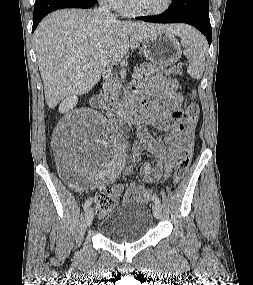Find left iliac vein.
I'll return each instance as SVG.
<instances>
[{
    "mask_svg": "<svg viewBox=\"0 0 253 285\" xmlns=\"http://www.w3.org/2000/svg\"><path fill=\"white\" fill-rule=\"evenodd\" d=\"M153 214L156 219H160L162 217V207L160 204L154 203Z\"/></svg>",
    "mask_w": 253,
    "mask_h": 285,
    "instance_id": "obj_1",
    "label": "left iliac vein"
}]
</instances>
